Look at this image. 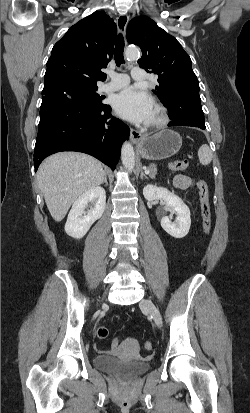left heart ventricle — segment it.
<instances>
[{
    "instance_id": "b2bd125f",
    "label": "left heart ventricle",
    "mask_w": 250,
    "mask_h": 413,
    "mask_svg": "<svg viewBox=\"0 0 250 413\" xmlns=\"http://www.w3.org/2000/svg\"><path fill=\"white\" fill-rule=\"evenodd\" d=\"M154 118H155V112H154V109H153L150 122H151Z\"/></svg>"
}]
</instances>
